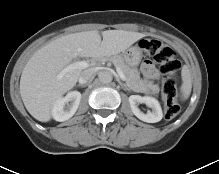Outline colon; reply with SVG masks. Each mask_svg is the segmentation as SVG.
<instances>
[{
	"label": "colon",
	"instance_id": "1",
	"mask_svg": "<svg viewBox=\"0 0 219 174\" xmlns=\"http://www.w3.org/2000/svg\"><path fill=\"white\" fill-rule=\"evenodd\" d=\"M141 47L150 54L159 64L162 73V93L165 100L164 116L166 119H174L180 112L176 102L178 71L181 63L175 51L158 39H150L141 42Z\"/></svg>",
	"mask_w": 219,
	"mask_h": 174
}]
</instances>
